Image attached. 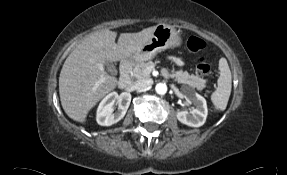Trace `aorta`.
<instances>
[{
    "mask_svg": "<svg viewBox=\"0 0 287 175\" xmlns=\"http://www.w3.org/2000/svg\"><path fill=\"white\" fill-rule=\"evenodd\" d=\"M155 90L158 94L164 95L167 92V85L164 83H158L155 87Z\"/></svg>",
    "mask_w": 287,
    "mask_h": 175,
    "instance_id": "aorta-1",
    "label": "aorta"
}]
</instances>
